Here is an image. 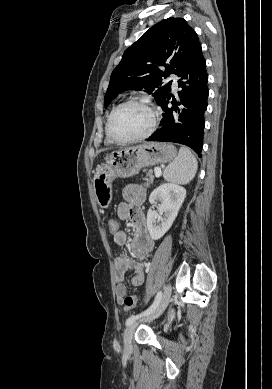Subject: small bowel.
<instances>
[{
  "instance_id": "1",
  "label": "small bowel",
  "mask_w": 272,
  "mask_h": 389,
  "mask_svg": "<svg viewBox=\"0 0 272 389\" xmlns=\"http://www.w3.org/2000/svg\"><path fill=\"white\" fill-rule=\"evenodd\" d=\"M124 201L118 205L117 215L119 219L129 220L133 226V238L130 242L131 253L138 259L135 260L126 255H121L115 259L116 300L119 304H124L127 288L124 283L126 273L132 272L131 284L141 286L145 279V270L141 260L147 259L154 248V241L151 238L145 216L141 210V205L145 201L146 191L142 186L129 185L123 191ZM117 245L123 246L128 243L127 233L123 230L114 235Z\"/></svg>"
}]
</instances>
